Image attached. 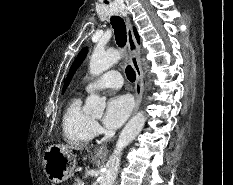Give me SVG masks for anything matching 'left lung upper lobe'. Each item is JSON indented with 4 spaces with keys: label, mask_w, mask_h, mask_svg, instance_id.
Segmentation results:
<instances>
[{
    "label": "left lung upper lobe",
    "mask_w": 233,
    "mask_h": 185,
    "mask_svg": "<svg viewBox=\"0 0 233 185\" xmlns=\"http://www.w3.org/2000/svg\"><path fill=\"white\" fill-rule=\"evenodd\" d=\"M87 54V48H84L80 51L79 55L77 56V58L75 59L71 69H70V73L68 75L67 78V83L64 86L63 91L65 90L66 86L68 85L69 80L71 79L72 75L74 74L75 70L77 69V67L82 63V61L84 60L85 56Z\"/></svg>",
    "instance_id": "obj_1"
}]
</instances>
